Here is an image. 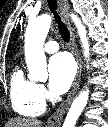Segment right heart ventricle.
Listing matches in <instances>:
<instances>
[{"instance_id": "right-heart-ventricle-1", "label": "right heart ventricle", "mask_w": 108, "mask_h": 127, "mask_svg": "<svg viewBox=\"0 0 108 127\" xmlns=\"http://www.w3.org/2000/svg\"><path fill=\"white\" fill-rule=\"evenodd\" d=\"M10 101L14 111L25 117L39 116L44 111L37 84L28 79L20 67H16L10 77Z\"/></svg>"}]
</instances>
